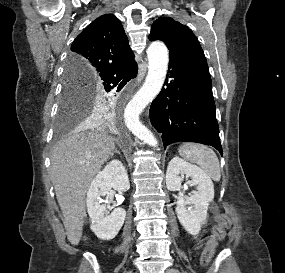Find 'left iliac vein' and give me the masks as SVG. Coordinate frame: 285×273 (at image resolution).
<instances>
[{"label":"left iliac vein","mask_w":285,"mask_h":273,"mask_svg":"<svg viewBox=\"0 0 285 273\" xmlns=\"http://www.w3.org/2000/svg\"><path fill=\"white\" fill-rule=\"evenodd\" d=\"M166 273H180V271L177 270V269L171 268V269H168V270L166 271Z\"/></svg>","instance_id":"obj_1"}]
</instances>
